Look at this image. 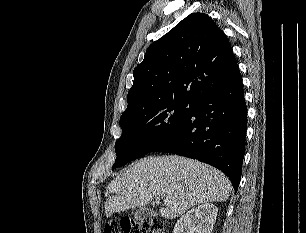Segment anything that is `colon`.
I'll return each instance as SVG.
<instances>
[{"label":"colon","mask_w":306,"mask_h":233,"mask_svg":"<svg viewBox=\"0 0 306 233\" xmlns=\"http://www.w3.org/2000/svg\"><path fill=\"white\" fill-rule=\"evenodd\" d=\"M103 233H166L164 223L157 218L121 219L107 222Z\"/></svg>","instance_id":"1"}]
</instances>
